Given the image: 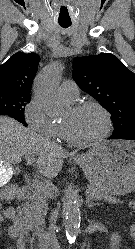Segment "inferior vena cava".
Instances as JSON below:
<instances>
[{
  "instance_id": "obj_1",
  "label": "inferior vena cava",
  "mask_w": 135,
  "mask_h": 249,
  "mask_svg": "<svg viewBox=\"0 0 135 249\" xmlns=\"http://www.w3.org/2000/svg\"><path fill=\"white\" fill-rule=\"evenodd\" d=\"M52 223L49 226V232L47 234V246L48 249H60L58 240L55 236V225H54V216L51 217Z\"/></svg>"
}]
</instances>
